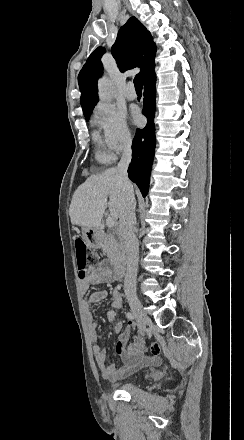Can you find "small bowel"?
I'll use <instances>...</instances> for the list:
<instances>
[{"label":"small bowel","instance_id":"small-bowel-1","mask_svg":"<svg viewBox=\"0 0 244 440\" xmlns=\"http://www.w3.org/2000/svg\"><path fill=\"white\" fill-rule=\"evenodd\" d=\"M122 275L118 274L112 265L101 262L98 267L90 270L86 276L81 279L79 289L82 294L89 291L93 285L103 283H113L121 281ZM112 307L116 310L122 309L123 297L119 288H113L110 292ZM107 297V291L97 290L92 292L88 299L83 302L82 311L84 322L87 326L89 337L93 346V354L99 369L100 375L105 380L120 381L128 378L143 367L155 362V356H150L146 353V347L141 341H133L129 343L132 336V327L129 324L121 333L115 344V353L120 357L122 365L107 364V354L105 348L97 344V329L98 322L96 321L90 305L99 303ZM112 328L119 332L122 328L121 321H115Z\"/></svg>","mask_w":244,"mask_h":440}]
</instances>
